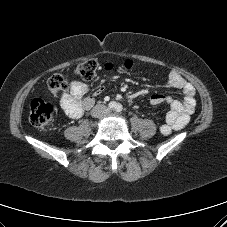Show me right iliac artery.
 <instances>
[{
    "label": "right iliac artery",
    "instance_id": "82829eb1",
    "mask_svg": "<svg viewBox=\"0 0 227 227\" xmlns=\"http://www.w3.org/2000/svg\"><path fill=\"white\" fill-rule=\"evenodd\" d=\"M116 105H117L116 102L111 101V102L108 104V107H109L110 109H115V108H116Z\"/></svg>",
    "mask_w": 227,
    "mask_h": 227
}]
</instances>
